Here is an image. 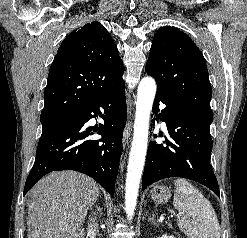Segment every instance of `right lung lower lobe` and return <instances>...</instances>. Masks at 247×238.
Masks as SVG:
<instances>
[{
  "label": "right lung lower lobe",
  "instance_id": "1",
  "mask_svg": "<svg viewBox=\"0 0 247 238\" xmlns=\"http://www.w3.org/2000/svg\"><path fill=\"white\" fill-rule=\"evenodd\" d=\"M124 88L122 82L42 130L24 195L47 173L75 170L92 177L114 196L127 117ZM100 108L104 109V115ZM97 115L104 119V124L88 127L87 122ZM94 133L102 138L89 139Z\"/></svg>",
  "mask_w": 247,
  "mask_h": 238
}]
</instances>
